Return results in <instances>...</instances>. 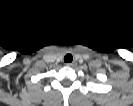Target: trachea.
<instances>
[{"label": "trachea", "mask_w": 133, "mask_h": 106, "mask_svg": "<svg viewBox=\"0 0 133 106\" xmlns=\"http://www.w3.org/2000/svg\"><path fill=\"white\" fill-rule=\"evenodd\" d=\"M72 60H73V56L71 54H67L64 57V62L70 63V62H72Z\"/></svg>", "instance_id": "obj_1"}]
</instances>
